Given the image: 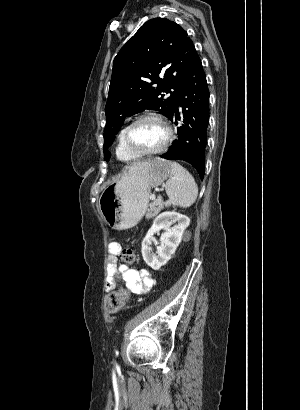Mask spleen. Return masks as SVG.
<instances>
[{
  "label": "spleen",
  "instance_id": "obj_1",
  "mask_svg": "<svg viewBox=\"0 0 300 410\" xmlns=\"http://www.w3.org/2000/svg\"><path fill=\"white\" fill-rule=\"evenodd\" d=\"M171 177L166 182L165 190L168 200L165 207L179 206L190 207L197 199L198 187L193 176L179 163H171Z\"/></svg>",
  "mask_w": 300,
  "mask_h": 410
}]
</instances>
